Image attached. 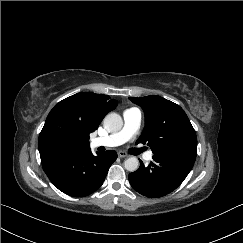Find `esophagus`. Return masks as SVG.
<instances>
[{"label":"esophagus","instance_id":"obj_1","mask_svg":"<svg viewBox=\"0 0 243 243\" xmlns=\"http://www.w3.org/2000/svg\"><path fill=\"white\" fill-rule=\"evenodd\" d=\"M118 156L120 157V158H125V157H128V154L126 153V152H124V151H118Z\"/></svg>","mask_w":243,"mask_h":243}]
</instances>
